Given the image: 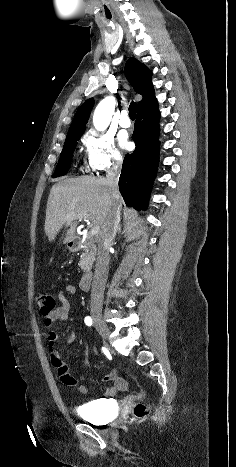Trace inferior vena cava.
Segmentation results:
<instances>
[{"label": "inferior vena cava", "mask_w": 236, "mask_h": 467, "mask_svg": "<svg viewBox=\"0 0 236 467\" xmlns=\"http://www.w3.org/2000/svg\"><path fill=\"white\" fill-rule=\"evenodd\" d=\"M120 166L115 164L106 171V181L114 199L119 198L118 180ZM121 208L114 205L106 222L103 224L98 240L96 268L91 288V306L101 307L103 304V293L109 270V248L113 244L120 222Z\"/></svg>", "instance_id": "inferior-vena-cava-1"}]
</instances>
